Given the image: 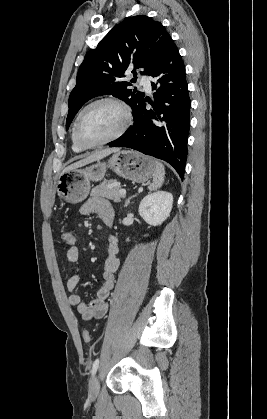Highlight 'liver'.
<instances>
[{
	"mask_svg": "<svg viewBox=\"0 0 267 419\" xmlns=\"http://www.w3.org/2000/svg\"><path fill=\"white\" fill-rule=\"evenodd\" d=\"M119 150H120L119 148H106V149L96 150L93 153H91L90 155H88L86 158L81 159V160L69 165L68 167H66L63 170L62 173L66 172V171H69V170H72V169H76V168L85 166V165H87L89 163H92L94 161L101 160L104 157H106V156H108L112 153L118 152Z\"/></svg>",
	"mask_w": 267,
	"mask_h": 419,
	"instance_id": "obj_1",
	"label": "liver"
}]
</instances>
